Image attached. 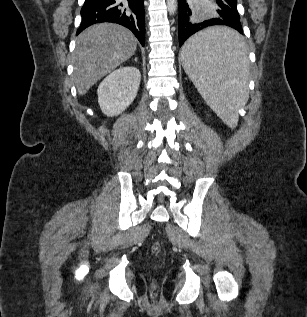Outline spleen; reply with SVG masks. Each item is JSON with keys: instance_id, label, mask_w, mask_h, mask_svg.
<instances>
[{"instance_id": "1", "label": "spleen", "mask_w": 307, "mask_h": 317, "mask_svg": "<svg viewBox=\"0 0 307 317\" xmlns=\"http://www.w3.org/2000/svg\"><path fill=\"white\" fill-rule=\"evenodd\" d=\"M248 42L230 26H207L193 35L181 52L183 68L212 110L230 128L249 98Z\"/></svg>"}]
</instances>
